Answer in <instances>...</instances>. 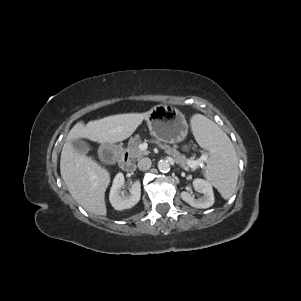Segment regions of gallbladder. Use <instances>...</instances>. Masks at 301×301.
Wrapping results in <instances>:
<instances>
[{
	"label": "gallbladder",
	"instance_id": "1",
	"mask_svg": "<svg viewBox=\"0 0 301 301\" xmlns=\"http://www.w3.org/2000/svg\"><path fill=\"white\" fill-rule=\"evenodd\" d=\"M71 143L77 153L86 155L89 152V145L85 141L81 139H74Z\"/></svg>",
	"mask_w": 301,
	"mask_h": 301
}]
</instances>
